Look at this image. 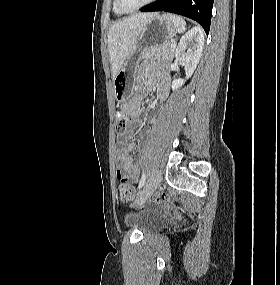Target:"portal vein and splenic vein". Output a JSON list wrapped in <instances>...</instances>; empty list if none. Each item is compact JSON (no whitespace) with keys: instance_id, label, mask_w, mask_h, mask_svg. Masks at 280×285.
<instances>
[{"instance_id":"1","label":"portal vein and splenic vein","mask_w":280,"mask_h":285,"mask_svg":"<svg viewBox=\"0 0 280 285\" xmlns=\"http://www.w3.org/2000/svg\"><path fill=\"white\" fill-rule=\"evenodd\" d=\"M175 47H176V44H175V43H172V44H171V48H172V49H175Z\"/></svg>"}]
</instances>
